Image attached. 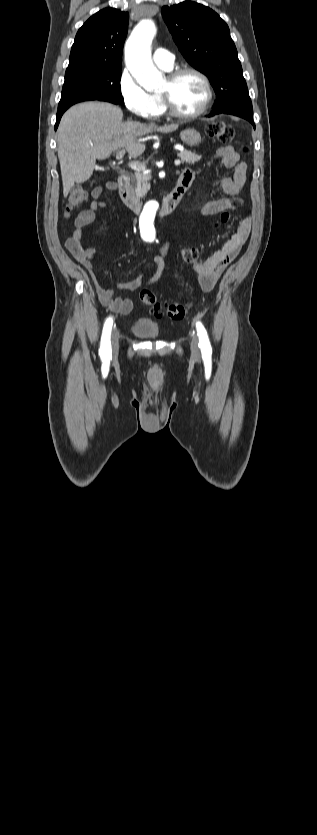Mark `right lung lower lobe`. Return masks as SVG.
Wrapping results in <instances>:
<instances>
[{"mask_svg": "<svg viewBox=\"0 0 317 835\" xmlns=\"http://www.w3.org/2000/svg\"><path fill=\"white\" fill-rule=\"evenodd\" d=\"M99 100H100V101H107V102H111V103H114V104H119L117 101L112 100V99H109V98H104V99H99ZM68 108H69V107H67V108H63V109H58L57 116H56V124H55V129H57V127H58V125H59V121H60V119H61L62 114H63V113H64V112H65Z\"/></svg>", "mask_w": 317, "mask_h": 835, "instance_id": "obj_1", "label": "right lung lower lobe"}]
</instances>
